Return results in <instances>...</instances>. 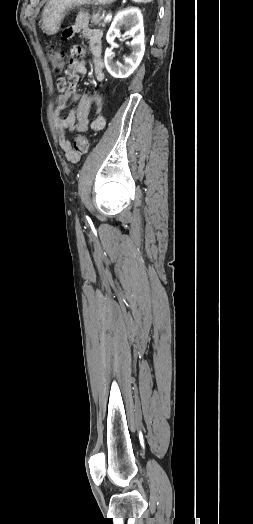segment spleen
<instances>
[{"mask_svg":"<svg viewBox=\"0 0 253 524\" xmlns=\"http://www.w3.org/2000/svg\"><path fill=\"white\" fill-rule=\"evenodd\" d=\"M133 2H136V3H149V2H152L153 0H132Z\"/></svg>","mask_w":253,"mask_h":524,"instance_id":"spleen-1","label":"spleen"}]
</instances>
